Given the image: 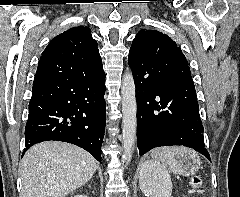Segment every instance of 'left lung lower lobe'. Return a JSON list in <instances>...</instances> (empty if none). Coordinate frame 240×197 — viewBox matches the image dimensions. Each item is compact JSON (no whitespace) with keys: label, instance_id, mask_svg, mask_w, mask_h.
I'll use <instances>...</instances> for the list:
<instances>
[{"label":"left lung lower lobe","instance_id":"0a47b994","mask_svg":"<svg viewBox=\"0 0 240 197\" xmlns=\"http://www.w3.org/2000/svg\"><path fill=\"white\" fill-rule=\"evenodd\" d=\"M139 155L160 146L182 145L210 161L205 148L194 83L151 72H133Z\"/></svg>","mask_w":240,"mask_h":197}]
</instances>
